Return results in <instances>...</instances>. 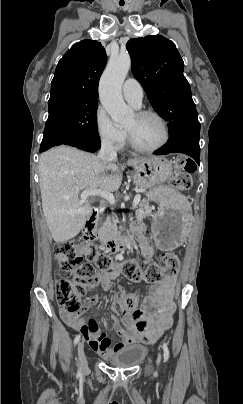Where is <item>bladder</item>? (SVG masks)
Returning a JSON list of instances; mask_svg holds the SVG:
<instances>
[{"mask_svg": "<svg viewBox=\"0 0 243 404\" xmlns=\"http://www.w3.org/2000/svg\"><path fill=\"white\" fill-rule=\"evenodd\" d=\"M147 353V348L144 345L134 343L113 352L107 362L115 368L129 369L140 364Z\"/></svg>", "mask_w": 243, "mask_h": 404, "instance_id": "1", "label": "bladder"}]
</instances>
